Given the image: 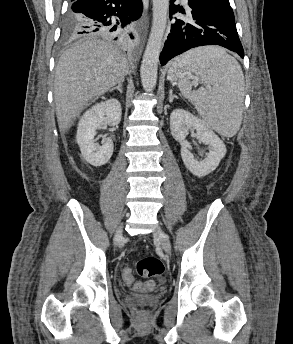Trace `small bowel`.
Listing matches in <instances>:
<instances>
[{
    "instance_id": "c3829d8e",
    "label": "small bowel",
    "mask_w": 293,
    "mask_h": 344,
    "mask_svg": "<svg viewBox=\"0 0 293 344\" xmlns=\"http://www.w3.org/2000/svg\"><path fill=\"white\" fill-rule=\"evenodd\" d=\"M125 282H126V284H128V285H132V284H133V282H127V281H125ZM145 285H146V284H145ZM145 285H142V284H135V285L133 286V288H134L135 291L143 292V291H144Z\"/></svg>"
}]
</instances>
